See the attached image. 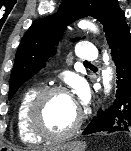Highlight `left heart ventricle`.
Instances as JSON below:
<instances>
[{"label":"left heart ventricle","instance_id":"b2bd125f","mask_svg":"<svg viewBox=\"0 0 131 151\" xmlns=\"http://www.w3.org/2000/svg\"><path fill=\"white\" fill-rule=\"evenodd\" d=\"M79 114L75 100L66 94H55L45 103L43 125L49 132L61 133L68 130Z\"/></svg>","mask_w":131,"mask_h":151}]
</instances>
